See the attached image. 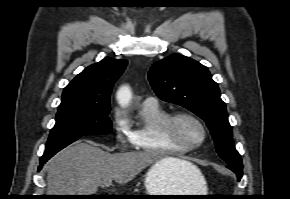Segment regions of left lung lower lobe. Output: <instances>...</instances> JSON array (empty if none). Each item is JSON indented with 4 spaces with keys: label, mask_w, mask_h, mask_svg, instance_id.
Returning <instances> with one entry per match:
<instances>
[{
    "label": "left lung lower lobe",
    "mask_w": 290,
    "mask_h": 199,
    "mask_svg": "<svg viewBox=\"0 0 290 199\" xmlns=\"http://www.w3.org/2000/svg\"><path fill=\"white\" fill-rule=\"evenodd\" d=\"M227 168L232 170L234 173H236L238 180L241 179L242 174H243V165H236V164H228Z\"/></svg>",
    "instance_id": "left-lung-lower-lobe-1"
}]
</instances>
